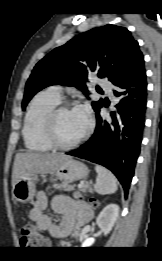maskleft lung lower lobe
<instances>
[{
    "label": "left lung lower lobe",
    "instance_id": "1",
    "mask_svg": "<svg viewBox=\"0 0 162 261\" xmlns=\"http://www.w3.org/2000/svg\"><path fill=\"white\" fill-rule=\"evenodd\" d=\"M112 83L116 87L114 95L118 100L116 111L110 112V119L102 118L99 110L96 111L97 124L93 136L79 149L66 154L111 170L127 196L140 153L145 122L147 81L144 58Z\"/></svg>",
    "mask_w": 162,
    "mask_h": 261
}]
</instances>
